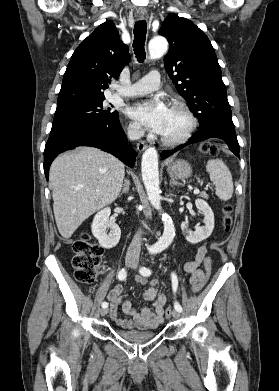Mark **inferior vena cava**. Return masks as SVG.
Wrapping results in <instances>:
<instances>
[{
  "label": "inferior vena cava",
  "instance_id": "1",
  "mask_svg": "<svg viewBox=\"0 0 279 391\" xmlns=\"http://www.w3.org/2000/svg\"><path fill=\"white\" fill-rule=\"evenodd\" d=\"M127 136L129 140H138L141 138V131L138 127H131L128 129ZM141 251V232H138L129 245L127 254L139 255Z\"/></svg>",
  "mask_w": 279,
  "mask_h": 391
}]
</instances>
